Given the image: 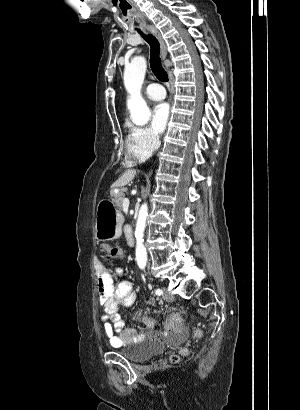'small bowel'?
<instances>
[{"mask_svg": "<svg viewBox=\"0 0 300 410\" xmlns=\"http://www.w3.org/2000/svg\"><path fill=\"white\" fill-rule=\"evenodd\" d=\"M95 273L99 302L105 312L101 318L103 330L110 345L121 347L139 340L141 337L138 329L127 326L125 319L119 313L120 307L129 308L134 302L135 293L132 283L128 280H121L115 285L113 275L100 262L95 265ZM117 273L122 274V270H118ZM169 327L177 328L172 325Z\"/></svg>", "mask_w": 300, "mask_h": 410, "instance_id": "1", "label": "small bowel"}]
</instances>
